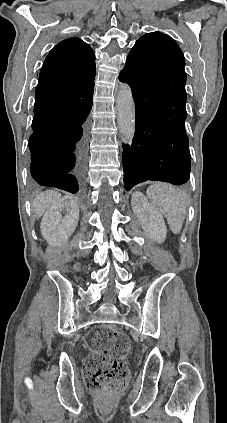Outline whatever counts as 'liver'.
I'll list each match as a JSON object with an SVG mask.
<instances>
[{"instance_id": "obj_1", "label": "liver", "mask_w": 227, "mask_h": 423, "mask_svg": "<svg viewBox=\"0 0 227 423\" xmlns=\"http://www.w3.org/2000/svg\"><path fill=\"white\" fill-rule=\"evenodd\" d=\"M61 194L54 192V190H47V192H40L34 200L35 217L39 219L43 215L45 210H48L49 206L56 204L60 200Z\"/></svg>"}]
</instances>
